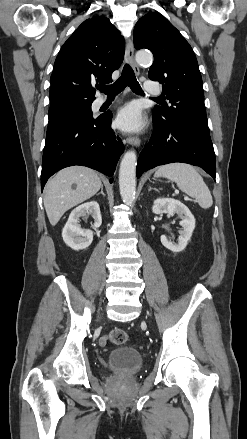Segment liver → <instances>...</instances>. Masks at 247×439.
<instances>
[{"label":"liver","instance_id":"1","mask_svg":"<svg viewBox=\"0 0 247 439\" xmlns=\"http://www.w3.org/2000/svg\"><path fill=\"white\" fill-rule=\"evenodd\" d=\"M101 186L98 174L88 167L71 166L59 171L44 190V207L50 224L55 226L67 210L94 196Z\"/></svg>","mask_w":247,"mask_h":439}]
</instances>
